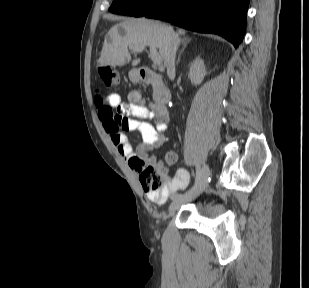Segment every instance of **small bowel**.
<instances>
[{
	"label": "small bowel",
	"mask_w": 309,
	"mask_h": 288,
	"mask_svg": "<svg viewBox=\"0 0 309 288\" xmlns=\"http://www.w3.org/2000/svg\"><path fill=\"white\" fill-rule=\"evenodd\" d=\"M107 102L111 107H122L128 113V119L122 126L114 124L105 114L99 113V116L113 145L132 170L139 172L142 169L138 162H152L157 167L173 165L177 162L178 155L175 151H168L163 160L149 155V151L161 148L167 140L169 116L164 109L155 103L146 104L137 92L129 95L127 103H122L118 94H111ZM151 120L153 123H150ZM122 130L139 133L142 142L133 147ZM187 184V171L178 169L159 192H147L146 197L150 202L163 204L173 192L184 189Z\"/></svg>",
	"instance_id": "small-bowel-1"
}]
</instances>
